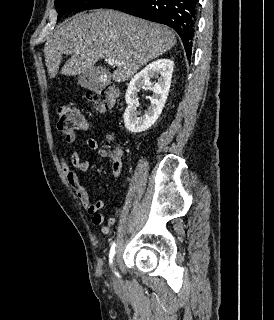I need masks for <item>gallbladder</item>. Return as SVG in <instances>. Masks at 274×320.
I'll return each instance as SVG.
<instances>
[{"instance_id":"obj_1","label":"gallbladder","mask_w":274,"mask_h":320,"mask_svg":"<svg viewBox=\"0 0 274 320\" xmlns=\"http://www.w3.org/2000/svg\"><path fill=\"white\" fill-rule=\"evenodd\" d=\"M114 77V72H106V68H95V66L94 68H83L77 84L87 90H100V85H110V80Z\"/></svg>"}]
</instances>
